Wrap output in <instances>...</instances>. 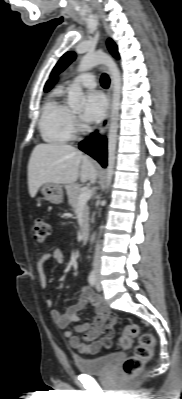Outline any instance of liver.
<instances>
[{
	"label": "liver",
	"instance_id": "liver-1",
	"mask_svg": "<svg viewBox=\"0 0 182 399\" xmlns=\"http://www.w3.org/2000/svg\"><path fill=\"white\" fill-rule=\"evenodd\" d=\"M97 177L91 159L71 145L38 144L28 163V187L32 198L44 183L72 184L80 178L94 184Z\"/></svg>",
	"mask_w": 182,
	"mask_h": 399
}]
</instances>
